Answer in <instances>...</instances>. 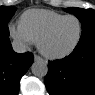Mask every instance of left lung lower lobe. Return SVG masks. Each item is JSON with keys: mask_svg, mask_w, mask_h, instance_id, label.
<instances>
[{"mask_svg": "<svg viewBox=\"0 0 95 95\" xmlns=\"http://www.w3.org/2000/svg\"><path fill=\"white\" fill-rule=\"evenodd\" d=\"M44 82L50 95H95V36L79 41L64 59L49 62Z\"/></svg>", "mask_w": 95, "mask_h": 95, "instance_id": "0a47b994", "label": "left lung lower lobe"}]
</instances>
